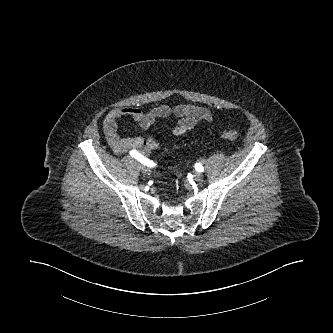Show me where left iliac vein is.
Instances as JSON below:
<instances>
[{
    "label": "left iliac vein",
    "instance_id": "4c4485c4",
    "mask_svg": "<svg viewBox=\"0 0 333 333\" xmlns=\"http://www.w3.org/2000/svg\"><path fill=\"white\" fill-rule=\"evenodd\" d=\"M202 179H203V174L202 173H200V172H195L194 173V180L195 181L200 182V181H202Z\"/></svg>",
    "mask_w": 333,
    "mask_h": 333
}]
</instances>
